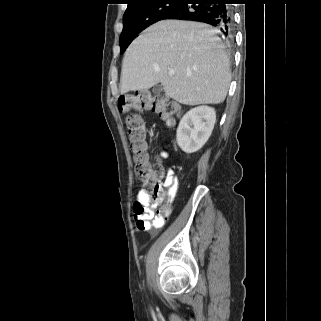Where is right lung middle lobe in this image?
Wrapping results in <instances>:
<instances>
[{"label":"right lung middle lobe","mask_w":321,"mask_h":321,"mask_svg":"<svg viewBox=\"0 0 321 321\" xmlns=\"http://www.w3.org/2000/svg\"><path fill=\"white\" fill-rule=\"evenodd\" d=\"M180 2L181 0H152L124 14L123 31L119 39L120 53H124L140 32L161 20L165 13L177 7Z\"/></svg>","instance_id":"1"}]
</instances>
